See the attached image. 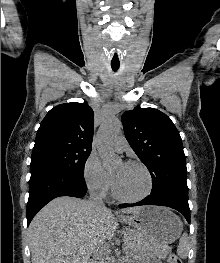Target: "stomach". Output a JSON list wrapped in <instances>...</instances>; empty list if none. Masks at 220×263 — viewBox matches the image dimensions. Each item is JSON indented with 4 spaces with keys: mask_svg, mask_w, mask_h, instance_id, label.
Here are the masks:
<instances>
[{
    "mask_svg": "<svg viewBox=\"0 0 220 263\" xmlns=\"http://www.w3.org/2000/svg\"><path fill=\"white\" fill-rule=\"evenodd\" d=\"M122 221L138 232L139 247L168 245L179 238L183 225L178 216L165 207L146 206Z\"/></svg>",
    "mask_w": 220,
    "mask_h": 263,
    "instance_id": "0dacf381",
    "label": "stomach"
}]
</instances>
